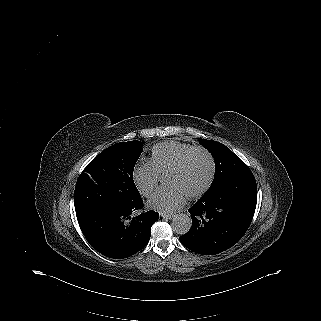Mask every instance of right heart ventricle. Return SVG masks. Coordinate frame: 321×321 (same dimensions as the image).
<instances>
[{
  "label": "right heart ventricle",
  "instance_id": "right-heart-ventricle-1",
  "mask_svg": "<svg viewBox=\"0 0 321 321\" xmlns=\"http://www.w3.org/2000/svg\"><path fill=\"white\" fill-rule=\"evenodd\" d=\"M196 148L198 147L178 141L160 143L152 149L151 162L159 175L161 174L167 177L183 163L188 155Z\"/></svg>",
  "mask_w": 321,
  "mask_h": 321
}]
</instances>
